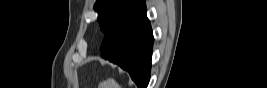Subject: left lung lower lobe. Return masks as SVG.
Listing matches in <instances>:
<instances>
[{"mask_svg": "<svg viewBox=\"0 0 267 88\" xmlns=\"http://www.w3.org/2000/svg\"><path fill=\"white\" fill-rule=\"evenodd\" d=\"M144 1L110 29L101 45V56L127 70L139 88H146L151 68L153 35Z\"/></svg>", "mask_w": 267, "mask_h": 88, "instance_id": "obj_1", "label": "left lung lower lobe"}]
</instances>
